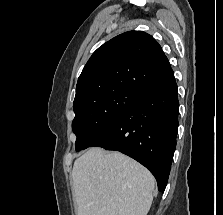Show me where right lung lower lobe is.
I'll return each mask as SVG.
<instances>
[{"label": "right lung lower lobe", "mask_w": 223, "mask_h": 215, "mask_svg": "<svg viewBox=\"0 0 223 215\" xmlns=\"http://www.w3.org/2000/svg\"><path fill=\"white\" fill-rule=\"evenodd\" d=\"M179 101L175 78L138 96L91 147L120 151L144 165L164 192L176 148Z\"/></svg>", "instance_id": "right-lung-lower-lobe-1"}]
</instances>
